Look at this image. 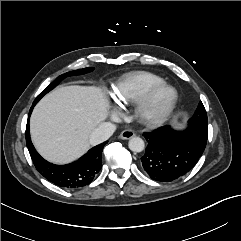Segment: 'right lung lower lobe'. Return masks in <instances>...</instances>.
Masks as SVG:
<instances>
[{
    "instance_id": "obj_1",
    "label": "right lung lower lobe",
    "mask_w": 241,
    "mask_h": 241,
    "mask_svg": "<svg viewBox=\"0 0 241 241\" xmlns=\"http://www.w3.org/2000/svg\"><path fill=\"white\" fill-rule=\"evenodd\" d=\"M36 104H33L35 106ZM29 111L26 127V144L32 161L40 174L57 186L74 189L91 183L102 167V150L104 142L90 149L77 161L66 165H55L43 159L35 150L29 132V117L33 110Z\"/></svg>"
}]
</instances>
